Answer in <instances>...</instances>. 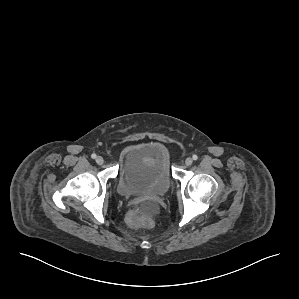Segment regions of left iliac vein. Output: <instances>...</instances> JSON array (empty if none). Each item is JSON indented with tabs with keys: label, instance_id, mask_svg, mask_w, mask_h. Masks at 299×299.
<instances>
[{
	"label": "left iliac vein",
	"instance_id": "left-iliac-vein-1",
	"mask_svg": "<svg viewBox=\"0 0 299 299\" xmlns=\"http://www.w3.org/2000/svg\"><path fill=\"white\" fill-rule=\"evenodd\" d=\"M193 163V160H192V158H187L186 160H185V164L187 165V166H190L191 164Z\"/></svg>",
	"mask_w": 299,
	"mask_h": 299
}]
</instances>
